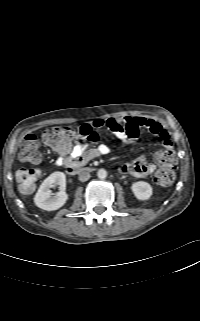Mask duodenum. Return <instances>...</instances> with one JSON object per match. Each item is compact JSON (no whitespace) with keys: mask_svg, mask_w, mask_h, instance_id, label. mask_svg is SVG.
<instances>
[{"mask_svg":"<svg viewBox=\"0 0 200 321\" xmlns=\"http://www.w3.org/2000/svg\"><path fill=\"white\" fill-rule=\"evenodd\" d=\"M89 170H91V169L85 168V167H83L81 165H77L75 167L69 168L68 172L69 173H76V172H85V171H89Z\"/></svg>","mask_w":200,"mask_h":321,"instance_id":"1","label":"duodenum"}]
</instances>
